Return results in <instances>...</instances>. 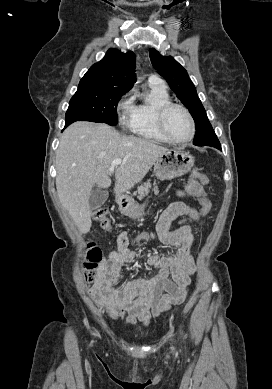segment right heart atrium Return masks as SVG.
<instances>
[{"mask_svg":"<svg viewBox=\"0 0 272 389\" xmlns=\"http://www.w3.org/2000/svg\"><path fill=\"white\" fill-rule=\"evenodd\" d=\"M132 106V95L130 92H128L119 100L117 104V112L121 122L125 121L126 115L130 112Z\"/></svg>","mask_w":272,"mask_h":389,"instance_id":"d8ad5b80","label":"right heart atrium"}]
</instances>
